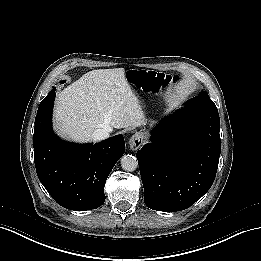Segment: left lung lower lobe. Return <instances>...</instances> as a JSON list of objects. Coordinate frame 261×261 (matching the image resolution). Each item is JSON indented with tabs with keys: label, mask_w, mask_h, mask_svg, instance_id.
Returning <instances> with one entry per match:
<instances>
[{
	"label": "left lung lower lobe",
	"mask_w": 261,
	"mask_h": 261,
	"mask_svg": "<svg viewBox=\"0 0 261 261\" xmlns=\"http://www.w3.org/2000/svg\"><path fill=\"white\" fill-rule=\"evenodd\" d=\"M219 130L214 102L195 97L153 131L151 142L136 153L149 208L181 211L210 189L221 151Z\"/></svg>",
	"instance_id": "left-lung-lower-lobe-1"
}]
</instances>
